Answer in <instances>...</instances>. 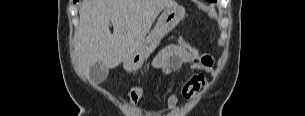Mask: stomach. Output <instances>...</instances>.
<instances>
[{"label": "stomach", "instance_id": "stomach-1", "mask_svg": "<svg viewBox=\"0 0 305 116\" xmlns=\"http://www.w3.org/2000/svg\"><path fill=\"white\" fill-rule=\"evenodd\" d=\"M185 9L180 5L167 7L157 20L152 31L144 38L135 51L123 62L128 72L138 70L154 52L160 41L185 17Z\"/></svg>", "mask_w": 305, "mask_h": 116}]
</instances>
